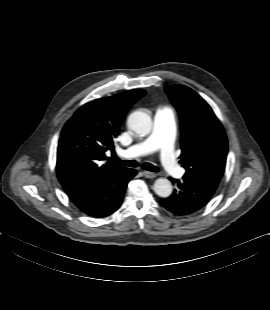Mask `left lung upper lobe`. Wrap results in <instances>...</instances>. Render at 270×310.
<instances>
[{
  "mask_svg": "<svg viewBox=\"0 0 270 310\" xmlns=\"http://www.w3.org/2000/svg\"><path fill=\"white\" fill-rule=\"evenodd\" d=\"M181 121L180 163L185 175L220 182L228 144L225 131L207 102L184 85L165 87Z\"/></svg>",
  "mask_w": 270,
  "mask_h": 310,
  "instance_id": "1",
  "label": "left lung upper lobe"
}]
</instances>
